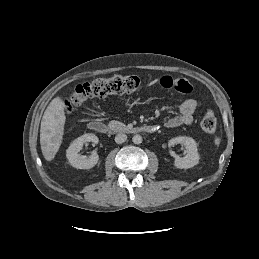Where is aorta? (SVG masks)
Wrapping results in <instances>:
<instances>
[{
  "mask_svg": "<svg viewBox=\"0 0 259 259\" xmlns=\"http://www.w3.org/2000/svg\"><path fill=\"white\" fill-rule=\"evenodd\" d=\"M134 144H141L142 143V136L141 135H134L132 138Z\"/></svg>",
  "mask_w": 259,
  "mask_h": 259,
  "instance_id": "1",
  "label": "aorta"
}]
</instances>
